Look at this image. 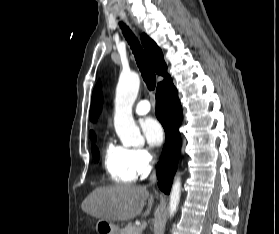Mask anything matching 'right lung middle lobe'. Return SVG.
I'll return each mask as SVG.
<instances>
[{"label":"right lung middle lobe","instance_id":"dd1d6c3e","mask_svg":"<svg viewBox=\"0 0 279 234\" xmlns=\"http://www.w3.org/2000/svg\"><path fill=\"white\" fill-rule=\"evenodd\" d=\"M92 154L95 160H99V151L95 145L92 146Z\"/></svg>","mask_w":279,"mask_h":234}]
</instances>
